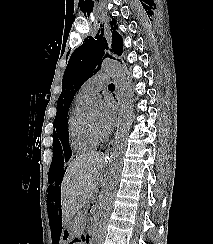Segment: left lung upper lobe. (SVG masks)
<instances>
[{
    "label": "left lung upper lobe",
    "instance_id": "obj_1",
    "mask_svg": "<svg viewBox=\"0 0 213 244\" xmlns=\"http://www.w3.org/2000/svg\"><path fill=\"white\" fill-rule=\"evenodd\" d=\"M110 24L112 35L110 51L114 56L121 55L122 38L117 32L115 22H110ZM105 49H108L107 40L103 30H99L95 38L87 37L82 45L68 53V64L62 80V93L57 103L56 129L60 126L66 129L67 113L74 95L87 79L99 71L102 60L106 57L112 58L105 54Z\"/></svg>",
    "mask_w": 213,
    "mask_h": 244
}]
</instances>
